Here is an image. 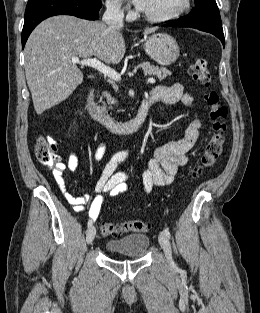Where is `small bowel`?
Here are the masks:
<instances>
[{"instance_id": "small-bowel-1", "label": "small bowel", "mask_w": 260, "mask_h": 313, "mask_svg": "<svg viewBox=\"0 0 260 313\" xmlns=\"http://www.w3.org/2000/svg\"><path fill=\"white\" fill-rule=\"evenodd\" d=\"M154 102L174 104L181 102L187 107H193V97L185 92L182 84L174 83L171 86H157L153 88L149 97ZM201 123L194 118L187 127L182 138L160 145L155 148L153 157L148 161L142 174V186L146 193H149L154 186H168L173 183L179 168L188 162V153L196 146L199 139V129ZM105 152V144L100 143L95 151V161H100ZM131 156V151L123 150L115 154L104 166L96 184V195H72L67 191L65 180L62 176L64 166L57 170L55 180L59 185L64 197L76 212L86 210V205L90 204L88 215L90 220H96L100 214L104 203L105 195L118 196L130 190L128 185L129 174L126 172H116L119 164L126 161ZM79 164V154L73 151L67 163L70 171H75Z\"/></svg>"}]
</instances>
